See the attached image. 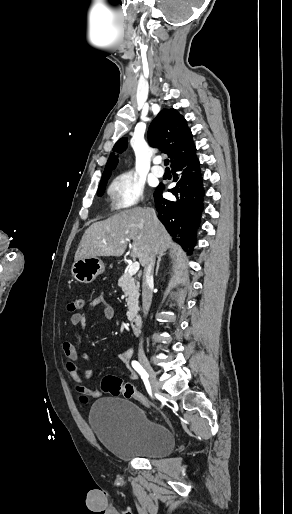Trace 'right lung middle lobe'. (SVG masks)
<instances>
[{
  "label": "right lung middle lobe",
  "mask_w": 292,
  "mask_h": 514,
  "mask_svg": "<svg viewBox=\"0 0 292 514\" xmlns=\"http://www.w3.org/2000/svg\"><path fill=\"white\" fill-rule=\"evenodd\" d=\"M107 181H108V179L100 182L99 189L97 192L98 196H102L104 194Z\"/></svg>",
  "instance_id": "obj_1"
}]
</instances>
